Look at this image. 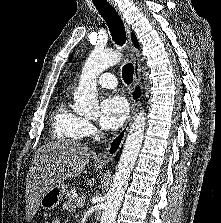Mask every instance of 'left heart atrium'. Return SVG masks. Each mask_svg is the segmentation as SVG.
I'll return each instance as SVG.
<instances>
[{"mask_svg":"<svg viewBox=\"0 0 221 223\" xmlns=\"http://www.w3.org/2000/svg\"><path fill=\"white\" fill-rule=\"evenodd\" d=\"M128 116L126 100L117 95L105 97L100 105L99 124L106 130L118 129Z\"/></svg>","mask_w":221,"mask_h":223,"instance_id":"left-heart-atrium-1","label":"left heart atrium"}]
</instances>
